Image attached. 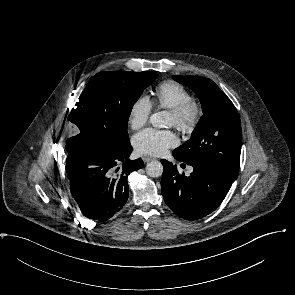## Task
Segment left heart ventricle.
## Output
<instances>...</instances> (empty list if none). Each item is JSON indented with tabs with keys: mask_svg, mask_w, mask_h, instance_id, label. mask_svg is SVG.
I'll return each mask as SVG.
<instances>
[{
	"mask_svg": "<svg viewBox=\"0 0 295 295\" xmlns=\"http://www.w3.org/2000/svg\"><path fill=\"white\" fill-rule=\"evenodd\" d=\"M174 124H175V118L173 117V115L170 114V116H169V125L174 126Z\"/></svg>",
	"mask_w": 295,
	"mask_h": 295,
	"instance_id": "1",
	"label": "left heart ventricle"
}]
</instances>
